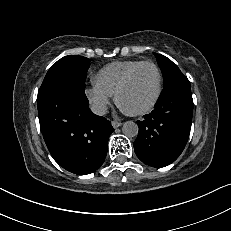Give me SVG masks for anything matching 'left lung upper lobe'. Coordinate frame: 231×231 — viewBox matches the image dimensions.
I'll list each match as a JSON object with an SVG mask.
<instances>
[{"label": "left lung upper lobe", "instance_id": "obj_1", "mask_svg": "<svg viewBox=\"0 0 231 231\" xmlns=\"http://www.w3.org/2000/svg\"><path fill=\"white\" fill-rule=\"evenodd\" d=\"M154 55L161 68L165 84L171 79L183 75L179 68L169 58L156 53H154Z\"/></svg>", "mask_w": 231, "mask_h": 231}]
</instances>
